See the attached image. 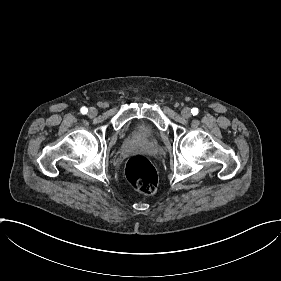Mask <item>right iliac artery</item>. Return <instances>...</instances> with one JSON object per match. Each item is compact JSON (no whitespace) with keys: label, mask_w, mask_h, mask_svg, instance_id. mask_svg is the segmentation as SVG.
Here are the masks:
<instances>
[{"label":"right iliac artery","mask_w":281,"mask_h":281,"mask_svg":"<svg viewBox=\"0 0 281 281\" xmlns=\"http://www.w3.org/2000/svg\"><path fill=\"white\" fill-rule=\"evenodd\" d=\"M82 114H86L88 112V109L84 106L80 109Z\"/></svg>","instance_id":"obj_1"}]
</instances>
